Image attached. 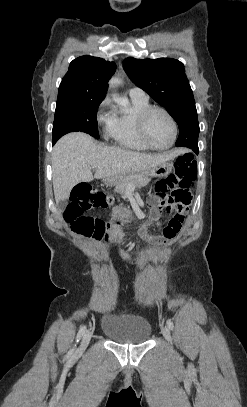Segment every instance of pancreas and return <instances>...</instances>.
<instances>
[{"label": "pancreas", "mask_w": 247, "mask_h": 407, "mask_svg": "<svg viewBox=\"0 0 247 407\" xmlns=\"http://www.w3.org/2000/svg\"><path fill=\"white\" fill-rule=\"evenodd\" d=\"M149 182L150 178L146 175L142 174L128 175L124 177L123 180L116 185L115 192L120 193L121 195H125L130 186L131 187L145 186Z\"/></svg>", "instance_id": "obj_1"}]
</instances>
